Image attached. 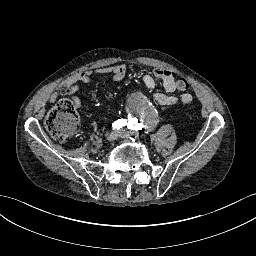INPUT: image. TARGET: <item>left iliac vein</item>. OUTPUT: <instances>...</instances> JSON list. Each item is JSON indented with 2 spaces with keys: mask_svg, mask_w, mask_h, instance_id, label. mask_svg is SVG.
Here are the masks:
<instances>
[{
  "mask_svg": "<svg viewBox=\"0 0 256 256\" xmlns=\"http://www.w3.org/2000/svg\"><path fill=\"white\" fill-rule=\"evenodd\" d=\"M118 133H119L118 135H119L120 137H122V138H125V137H127V136L129 135V134H128L127 132H125V131H119Z\"/></svg>",
  "mask_w": 256,
  "mask_h": 256,
  "instance_id": "1",
  "label": "left iliac vein"
}]
</instances>
